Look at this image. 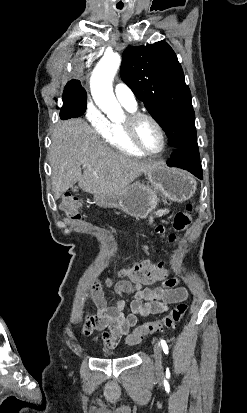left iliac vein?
Masks as SVG:
<instances>
[{
  "mask_svg": "<svg viewBox=\"0 0 247 413\" xmlns=\"http://www.w3.org/2000/svg\"><path fill=\"white\" fill-rule=\"evenodd\" d=\"M154 357H155V367L159 375L163 373V364H162V348L159 343L155 342L153 344Z\"/></svg>",
  "mask_w": 247,
  "mask_h": 413,
  "instance_id": "4c4485c4",
  "label": "left iliac vein"
}]
</instances>
